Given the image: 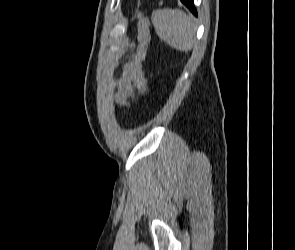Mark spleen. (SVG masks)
Instances as JSON below:
<instances>
[{"instance_id": "obj_1", "label": "spleen", "mask_w": 295, "mask_h": 250, "mask_svg": "<svg viewBox=\"0 0 295 250\" xmlns=\"http://www.w3.org/2000/svg\"><path fill=\"white\" fill-rule=\"evenodd\" d=\"M152 23L159 38L170 47L182 52L192 49L195 43V26L182 10H155L152 13Z\"/></svg>"}]
</instances>
